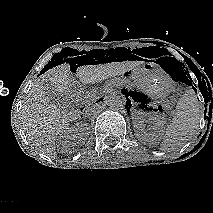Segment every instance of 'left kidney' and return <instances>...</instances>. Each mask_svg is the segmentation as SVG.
<instances>
[{
	"mask_svg": "<svg viewBox=\"0 0 213 213\" xmlns=\"http://www.w3.org/2000/svg\"><path fill=\"white\" fill-rule=\"evenodd\" d=\"M132 119L136 135L139 139L143 141H149L157 137V135L162 131L164 126L163 118H161L157 114H152L149 112L135 111L132 114ZM147 122L152 124L150 132H147L145 130V123Z\"/></svg>",
	"mask_w": 213,
	"mask_h": 213,
	"instance_id": "obj_1",
	"label": "left kidney"
}]
</instances>
